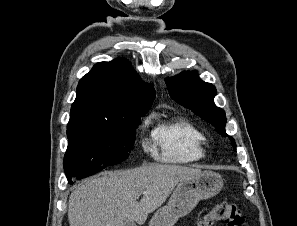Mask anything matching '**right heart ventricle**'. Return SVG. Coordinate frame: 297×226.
<instances>
[{
    "instance_id": "1",
    "label": "right heart ventricle",
    "mask_w": 297,
    "mask_h": 226,
    "mask_svg": "<svg viewBox=\"0 0 297 226\" xmlns=\"http://www.w3.org/2000/svg\"><path fill=\"white\" fill-rule=\"evenodd\" d=\"M153 140L159 149L158 160L166 163H192L205 156V134L186 119L158 124Z\"/></svg>"
}]
</instances>
